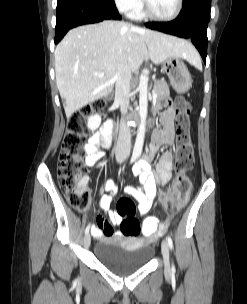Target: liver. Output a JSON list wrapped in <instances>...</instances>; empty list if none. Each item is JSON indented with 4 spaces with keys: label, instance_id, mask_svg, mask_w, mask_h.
Returning a JSON list of instances; mask_svg holds the SVG:
<instances>
[{
    "label": "liver",
    "instance_id": "1",
    "mask_svg": "<svg viewBox=\"0 0 247 304\" xmlns=\"http://www.w3.org/2000/svg\"><path fill=\"white\" fill-rule=\"evenodd\" d=\"M123 54L132 72L144 60L158 65L171 57L190 63L198 57L188 41L124 22L103 21L74 28L55 49L56 84L68 119L112 91Z\"/></svg>",
    "mask_w": 247,
    "mask_h": 304
}]
</instances>
